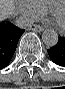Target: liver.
<instances>
[{
  "label": "liver",
  "mask_w": 65,
  "mask_h": 89,
  "mask_svg": "<svg viewBox=\"0 0 65 89\" xmlns=\"http://www.w3.org/2000/svg\"><path fill=\"white\" fill-rule=\"evenodd\" d=\"M14 9V1L0 0V19L4 20L11 17L14 14Z\"/></svg>",
  "instance_id": "obj_1"
}]
</instances>
